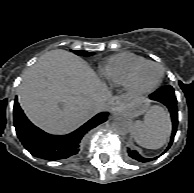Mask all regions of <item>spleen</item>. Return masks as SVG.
<instances>
[{"label": "spleen", "mask_w": 194, "mask_h": 193, "mask_svg": "<svg viewBox=\"0 0 194 193\" xmlns=\"http://www.w3.org/2000/svg\"><path fill=\"white\" fill-rule=\"evenodd\" d=\"M171 122L168 113L160 106H152L143 121H136L133 135L136 143L147 149H159L170 137Z\"/></svg>", "instance_id": "obj_1"}]
</instances>
